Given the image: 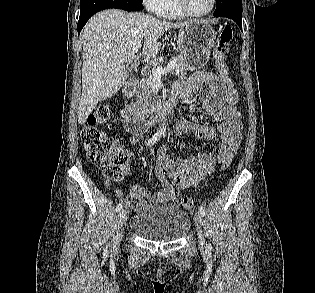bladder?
Segmentation results:
<instances>
[{
  "mask_svg": "<svg viewBox=\"0 0 315 293\" xmlns=\"http://www.w3.org/2000/svg\"><path fill=\"white\" fill-rule=\"evenodd\" d=\"M191 227V218L178 205L147 204L130 220V229L138 236L154 241L171 242L183 238Z\"/></svg>",
  "mask_w": 315,
  "mask_h": 293,
  "instance_id": "bladder-1",
  "label": "bladder"
}]
</instances>
